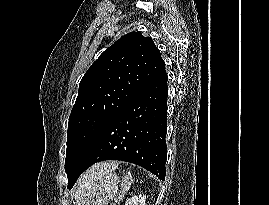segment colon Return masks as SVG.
Returning <instances> with one entry per match:
<instances>
[{"mask_svg": "<svg viewBox=\"0 0 269 205\" xmlns=\"http://www.w3.org/2000/svg\"><path fill=\"white\" fill-rule=\"evenodd\" d=\"M107 205H115V204H113V203H109V204H107Z\"/></svg>", "mask_w": 269, "mask_h": 205, "instance_id": "colon-1", "label": "colon"}]
</instances>
